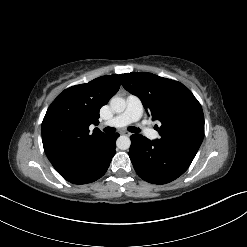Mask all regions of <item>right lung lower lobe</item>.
<instances>
[{"label":"right lung lower lobe","instance_id":"obj_1","mask_svg":"<svg viewBox=\"0 0 247 247\" xmlns=\"http://www.w3.org/2000/svg\"><path fill=\"white\" fill-rule=\"evenodd\" d=\"M118 133L104 135L81 155L53 164L56 171L74 184L91 183L102 177L115 155Z\"/></svg>","mask_w":247,"mask_h":247}]
</instances>
